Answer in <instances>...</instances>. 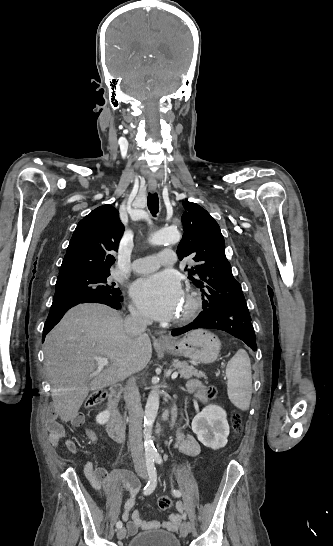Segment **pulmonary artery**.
<instances>
[{"instance_id":"pulmonary-artery-1","label":"pulmonary artery","mask_w":333,"mask_h":546,"mask_svg":"<svg viewBox=\"0 0 333 546\" xmlns=\"http://www.w3.org/2000/svg\"><path fill=\"white\" fill-rule=\"evenodd\" d=\"M176 261V254L172 250H163L157 255H150L142 258H138L133 261L131 269L135 273H149L160 266H171Z\"/></svg>"}]
</instances>
